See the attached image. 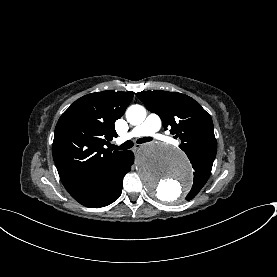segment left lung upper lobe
Here are the masks:
<instances>
[{
	"label": "left lung upper lobe",
	"mask_w": 277,
	"mask_h": 277,
	"mask_svg": "<svg viewBox=\"0 0 277 277\" xmlns=\"http://www.w3.org/2000/svg\"><path fill=\"white\" fill-rule=\"evenodd\" d=\"M136 95L149 111L161 117L165 130L170 128V133L181 139L179 147L195 170L193 186L186 199L194 198L207 182L216 156L211 116L194 99L178 92L141 91Z\"/></svg>",
	"instance_id": "obj_1"
}]
</instances>
